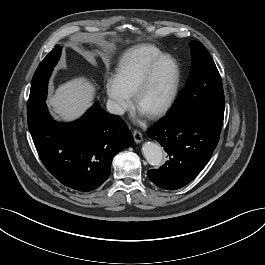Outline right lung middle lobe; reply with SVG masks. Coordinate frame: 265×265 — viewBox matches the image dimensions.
<instances>
[{
    "instance_id": "right-lung-middle-lobe-1",
    "label": "right lung middle lobe",
    "mask_w": 265,
    "mask_h": 265,
    "mask_svg": "<svg viewBox=\"0 0 265 265\" xmlns=\"http://www.w3.org/2000/svg\"><path fill=\"white\" fill-rule=\"evenodd\" d=\"M61 51L62 49L60 46H55L38 66L32 79L31 91L28 100V114L34 112L45 103L48 80L53 67L59 60Z\"/></svg>"
}]
</instances>
